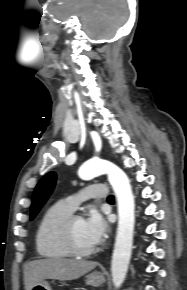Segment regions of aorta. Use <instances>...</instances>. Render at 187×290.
I'll return each instance as SVG.
<instances>
[{
    "label": "aorta",
    "mask_w": 187,
    "mask_h": 290,
    "mask_svg": "<svg viewBox=\"0 0 187 290\" xmlns=\"http://www.w3.org/2000/svg\"><path fill=\"white\" fill-rule=\"evenodd\" d=\"M78 174L83 180H91L107 174L115 192L118 204V227L112 255L111 274L114 286L119 288L127 274L135 224V203L129 179L120 168L100 159L85 162L80 167Z\"/></svg>",
    "instance_id": "762f6f07"
}]
</instances>
